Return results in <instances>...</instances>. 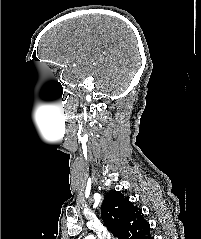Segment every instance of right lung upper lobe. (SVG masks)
Here are the masks:
<instances>
[{"instance_id": "1", "label": "right lung upper lobe", "mask_w": 201, "mask_h": 239, "mask_svg": "<svg viewBox=\"0 0 201 239\" xmlns=\"http://www.w3.org/2000/svg\"><path fill=\"white\" fill-rule=\"evenodd\" d=\"M101 217L111 233L119 239H148L150 225L142 209L134 207L129 197L119 191L106 194Z\"/></svg>"}]
</instances>
